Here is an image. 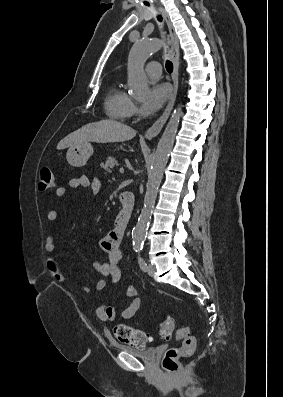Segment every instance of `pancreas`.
<instances>
[{
    "label": "pancreas",
    "mask_w": 283,
    "mask_h": 397,
    "mask_svg": "<svg viewBox=\"0 0 283 397\" xmlns=\"http://www.w3.org/2000/svg\"><path fill=\"white\" fill-rule=\"evenodd\" d=\"M118 165V161L114 157H108L105 163H101V167L108 173L112 172L114 166Z\"/></svg>",
    "instance_id": "cf45deb5"
}]
</instances>
